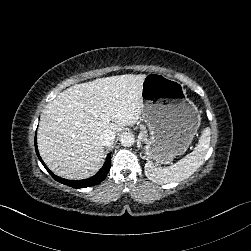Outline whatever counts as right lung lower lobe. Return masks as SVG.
I'll return each instance as SVG.
<instances>
[{"mask_svg": "<svg viewBox=\"0 0 251 251\" xmlns=\"http://www.w3.org/2000/svg\"><path fill=\"white\" fill-rule=\"evenodd\" d=\"M35 150H36V153H37L38 158L40 159L41 163L44 165L46 170L52 175V177L56 181L63 183L67 186L73 187V188L90 187V186H94V185L101 183L106 178V176L110 170V167H111V162H110L111 154H108L103 167L100 169V171L96 175L92 176L91 178L84 179V180H78V181L66 180V179H63V178L56 176L46 167V165L42 161L41 157L39 156V152L37 149L36 137H35Z\"/></svg>", "mask_w": 251, "mask_h": 251, "instance_id": "1", "label": "right lung lower lobe"}]
</instances>
